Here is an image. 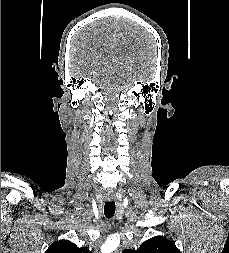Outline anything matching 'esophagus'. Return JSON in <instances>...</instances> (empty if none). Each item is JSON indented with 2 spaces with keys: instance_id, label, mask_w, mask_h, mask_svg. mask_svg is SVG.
Masks as SVG:
<instances>
[{
  "instance_id": "esophagus-1",
  "label": "esophagus",
  "mask_w": 229,
  "mask_h": 253,
  "mask_svg": "<svg viewBox=\"0 0 229 253\" xmlns=\"http://www.w3.org/2000/svg\"><path fill=\"white\" fill-rule=\"evenodd\" d=\"M106 200L109 201V202L113 201L114 197L112 195H108V196H106Z\"/></svg>"
}]
</instances>
